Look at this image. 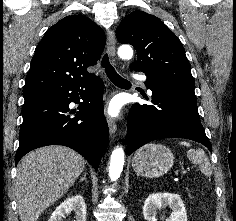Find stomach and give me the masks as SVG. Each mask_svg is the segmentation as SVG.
<instances>
[{
  "instance_id": "1",
  "label": "stomach",
  "mask_w": 236,
  "mask_h": 221,
  "mask_svg": "<svg viewBox=\"0 0 236 221\" xmlns=\"http://www.w3.org/2000/svg\"><path fill=\"white\" fill-rule=\"evenodd\" d=\"M174 164V156L169 148L161 144H146L132 160L134 171L141 176L154 178L167 173Z\"/></svg>"
}]
</instances>
